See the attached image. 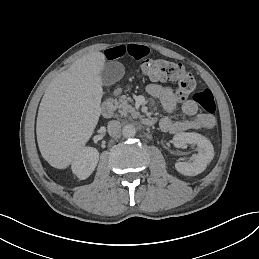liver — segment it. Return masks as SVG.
Listing matches in <instances>:
<instances>
[{
  "label": "liver",
  "mask_w": 259,
  "mask_h": 259,
  "mask_svg": "<svg viewBox=\"0 0 259 259\" xmlns=\"http://www.w3.org/2000/svg\"><path fill=\"white\" fill-rule=\"evenodd\" d=\"M104 65L103 53L84 55L48 84L36 134L41 155L52 167H68L93 134L101 114Z\"/></svg>",
  "instance_id": "1"
}]
</instances>
